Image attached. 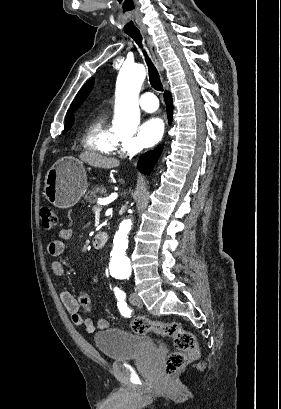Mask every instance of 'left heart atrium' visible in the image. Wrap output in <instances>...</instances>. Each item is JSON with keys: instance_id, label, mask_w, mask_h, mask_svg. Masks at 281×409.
<instances>
[{"instance_id": "1", "label": "left heart atrium", "mask_w": 281, "mask_h": 409, "mask_svg": "<svg viewBox=\"0 0 281 409\" xmlns=\"http://www.w3.org/2000/svg\"><path fill=\"white\" fill-rule=\"evenodd\" d=\"M164 133V122L158 116H150L140 127L139 139L143 146L151 147L157 144Z\"/></svg>"}]
</instances>
